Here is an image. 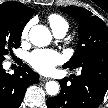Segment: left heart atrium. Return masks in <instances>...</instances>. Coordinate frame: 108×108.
<instances>
[{"instance_id":"left-heart-atrium-1","label":"left heart atrium","mask_w":108,"mask_h":108,"mask_svg":"<svg viewBox=\"0 0 108 108\" xmlns=\"http://www.w3.org/2000/svg\"><path fill=\"white\" fill-rule=\"evenodd\" d=\"M62 56L49 49H37L27 56V61L36 71L42 74L51 73L62 62Z\"/></svg>"}]
</instances>
